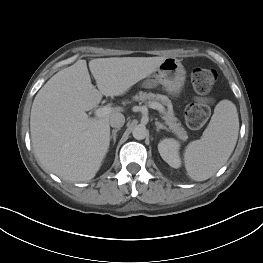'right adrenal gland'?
Returning a JSON list of instances; mask_svg holds the SVG:
<instances>
[{
	"label": "right adrenal gland",
	"mask_w": 263,
	"mask_h": 263,
	"mask_svg": "<svg viewBox=\"0 0 263 263\" xmlns=\"http://www.w3.org/2000/svg\"><path fill=\"white\" fill-rule=\"evenodd\" d=\"M120 130V128L113 129L112 130V135L110 136V139H113V144L116 143V137H117V132Z\"/></svg>",
	"instance_id": "1"
}]
</instances>
